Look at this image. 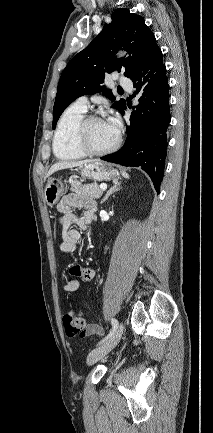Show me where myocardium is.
Segmentation results:
<instances>
[{
	"label": "myocardium",
	"mask_w": 213,
	"mask_h": 433,
	"mask_svg": "<svg viewBox=\"0 0 213 433\" xmlns=\"http://www.w3.org/2000/svg\"><path fill=\"white\" fill-rule=\"evenodd\" d=\"M94 120H102V117L96 113L85 114L79 121L75 130V143L80 151L85 155L90 156H103L116 151L122 141L121 133L117 132V139L115 143L107 149L96 150L92 148L87 139V128L90 122Z\"/></svg>",
	"instance_id": "obj_1"
}]
</instances>
